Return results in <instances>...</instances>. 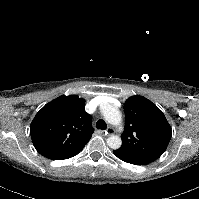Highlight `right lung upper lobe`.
I'll use <instances>...</instances> for the list:
<instances>
[{"label": "right lung upper lobe", "instance_id": "cb5924a9", "mask_svg": "<svg viewBox=\"0 0 199 199\" xmlns=\"http://www.w3.org/2000/svg\"><path fill=\"white\" fill-rule=\"evenodd\" d=\"M30 133L34 147L46 158L61 160L76 155L93 133L85 100L63 95L49 102L36 114Z\"/></svg>", "mask_w": 199, "mask_h": 199}]
</instances>
